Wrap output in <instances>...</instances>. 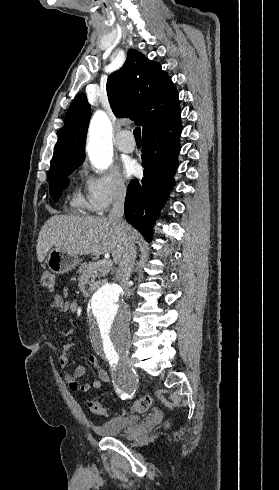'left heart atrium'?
<instances>
[{"label": "left heart atrium", "mask_w": 279, "mask_h": 490, "mask_svg": "<svg viewBox=\"0 0 279 490\" xmlns=\"http://www.w3.org/2000/svg\"><path fill=\"white\" fill-rule=\"evenodd\" d=\"M138 166L134 160L128 159L124 163V174L127 178L136 173Z\"/></svg>", "instance_id": "39dd6f15"}]
</instances>
